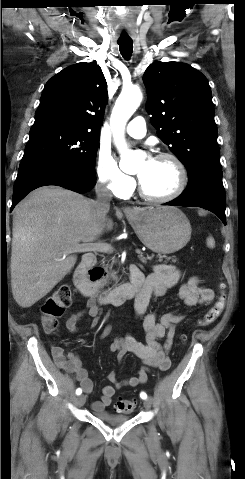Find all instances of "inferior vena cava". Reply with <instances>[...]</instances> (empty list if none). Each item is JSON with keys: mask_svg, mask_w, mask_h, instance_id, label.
<instances>
[{"mask_svg": "<svg viewBox=\"0 0 245 479\" xmlns=\"http://www.w3.org/2000/svg\"><path fill=\"white\" fill-rule=\"evenodd\" d=\"M95 191L97 199L91 201V207L97 218L103 220L109 212L112 193L103 182L97 183Z\"/></svg>", "mask_w": 245, "mask_h": 479, "instance_id": "obj_1", "label": "inferior vena cava"}]
</instances>
